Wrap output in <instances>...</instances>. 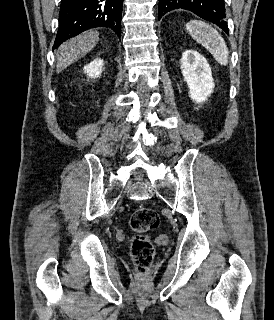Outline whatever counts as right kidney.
Returning <instances> with one entry per match:
<instances>
[{
	"label": "right kidney",
	"mask_w": 274,
	"mask_h": 320,
	"mask_svg": "<svg viewBox=\"0 0 274 320\" xmlns=\"http://www.w3.org/2000/svg\"><path fill=\"white\" fill-rule=\"evenodd\" d=\"M103 66V60H101V58H95L93 62L84 66V72L87 74L88 78H99L104 70Z\"/></svg>",
	"instance_id": "1"
}]
</instances>
